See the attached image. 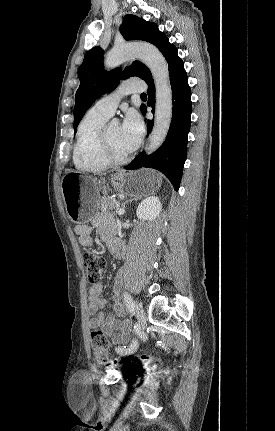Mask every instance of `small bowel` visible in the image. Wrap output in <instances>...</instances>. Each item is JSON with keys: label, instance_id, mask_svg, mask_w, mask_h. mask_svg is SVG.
Wrapping results in <instances>:
<instances>
[{"label": "small bowel", "instance_id": "c3829d8e", "mask_svg": "<svg viewBox=\"0 0 275 431\" xmlns=\"http://www.w3.org/2000/svg\"><path fill=\"white\" fill-rule=\"evenodd\" d=\"M101 239L107 244L110 252L116 258H122L125 254V244L116 236H114L110 223L104 219H97L94 222ZM75 232L79 236V242L83 246L92 244V227L89 225H78L75 227ZM102 285L94 284L88 297V312L92 316L89 320V327L99 328L108 335L114 345L125 344L129 341L130 329L129 323L125 320H120L124 315L122 305L116 301L113 305V314L106 315L102 309L106 305V300L101 296Z\"/></svg>", "mask_w": 275, "mask_h": 431}]
</instances>
